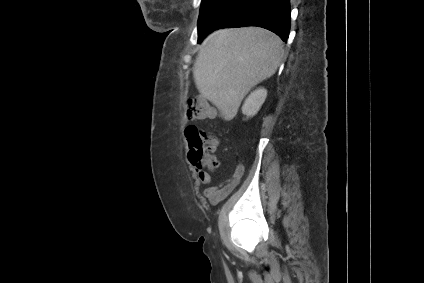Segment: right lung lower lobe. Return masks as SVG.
Wrapping results in <instances>:
<instances>
[{
    "instance_id": "obj_1",
    "label": "right lung lower lobe",
    "mask_w": 424,
    "mask_h": 283,
    "mask_svg": "<svg viewBox=\"0 0 424 283\" xmlns=\"http://www.w3.org/2000/svg\"><path fill=\"white\" fill-rule=\"evenodd\" d=\"M289 0H228L224 7L198 31V42L219 28L257 26L287 41L290 31Z\"/></svg>"
}]
</instances>
